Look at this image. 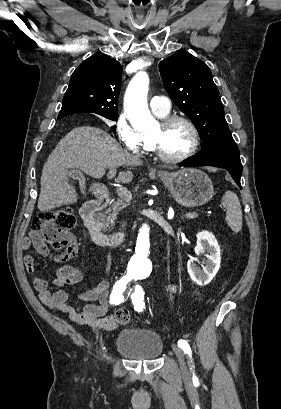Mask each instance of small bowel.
<instances>
[{
    "instance_id": "small-bowel-1",
    "label": "small bowel",
    "mask_w": 281,
    "mask_h": 409,
    "mask_svg": "<svg viewBox=\"0 0 281 409\" xmlns=\"http://www.w3.org/2000/svg\"><path fill=\"white\" fill-rule=\"evenodd\" d=\"M32 243L37 252L47 254L45 244L41 238H35L34 232H30L29 237L22 241V248L28 250L31 248ZM24 263L40 300L57 312L67 316L77 325L112 331L122 324L116 319L115 314H107L111 306L110 291L112 284L109 280H103L92 289L78 292L69 291L65 287L81 282L83 272L78 267L63 265L55 270L52 283L56 289H52L46 280L36 274L32 256L26 255ZM176 289V285L169 286V290L172 292H175ZM71 293H73V297H71Z\"/></svg>"
}]
</instances>
